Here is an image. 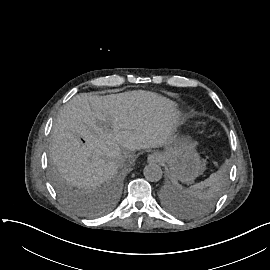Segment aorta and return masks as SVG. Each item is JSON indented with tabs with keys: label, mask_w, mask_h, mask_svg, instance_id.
<instances>
[{
	"label": "aorta",
	"mask_w": 270,
	"mask_h": 270,
	"mask_svg": "<svg viewBox=\"0 0 270 270\" xmlns=\"http://www.w3.org/2000/svg\"><path fill=\"white\" fill-rule=\"evenodd\" d=\"M144 176L151 182H158L163 176V171L159 165L150 163L144 168Z\"/></svg>",
	"instance_id": "obj_1"
}]
</instances>
